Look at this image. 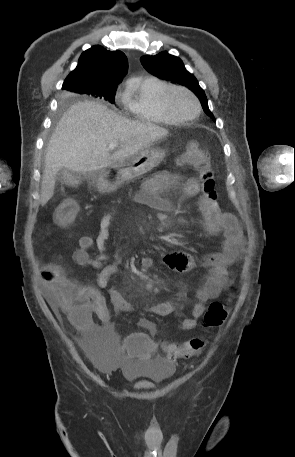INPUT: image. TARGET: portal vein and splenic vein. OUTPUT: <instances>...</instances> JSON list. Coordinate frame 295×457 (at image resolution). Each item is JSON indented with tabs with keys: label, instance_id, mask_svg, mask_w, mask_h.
I'll list each match as a JSON object with an SVG mask.
<instances>
[{
	"label": "portal vein and splenic vein",
	"instance_id": "18ae733b",
	"mask_svg": "<svg viewBox=\"0 0 295 457\" xmlns=\"http://www.w3.org/2000/svg\"><path fill=\"white\" fill-rule=\"evenodd\" d=\"M118 143L116 142H112L109 144V149H114L115 147H117Z\"/></svg>",
	"mask_w": 295,
	"mask_h": 457
}]
</instances>
